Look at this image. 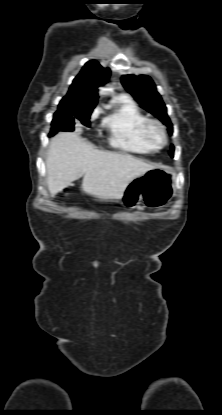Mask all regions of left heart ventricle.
<instances>
[{
  "label": "left heart ventricle",
  "mask_w": 222,
  "mask_h": 415,
  "mask_svg": "<svg viewBox=\"0 0 222 415\" xmlns=\"http://www.w3.org/2000/svg\"><path fill=\"white\" fill-rule=\"evenodd\" d=\"M154 135H155V137H156V138H159V134H158V132H156V131H155V132H154Z\"/></svg>",
  "instance_id": "b2bd125f"
}]
</instances>
